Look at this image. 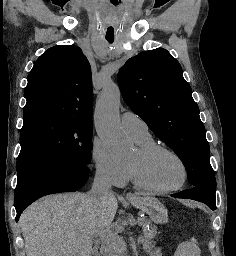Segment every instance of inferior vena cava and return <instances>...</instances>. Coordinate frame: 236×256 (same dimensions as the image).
<instances>
[{"mask_svg": "<svg viewBox=\"0 0 236 256\" xmlns=\"http://www.w3.org/2000/svg\"><path fill=\"white\" fill-rule=\"evenodd\" d=\"M112 178L108 168L97 166L94 182L89 192L96 202H105L111 200L113 194L111 192Z\"/></svg>", "mask_w": 236, "mask_h": 256, "instance_id": "obj_1", "label": "inferior vena cava"}]
</instances>
